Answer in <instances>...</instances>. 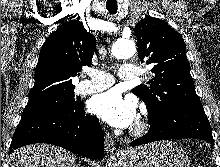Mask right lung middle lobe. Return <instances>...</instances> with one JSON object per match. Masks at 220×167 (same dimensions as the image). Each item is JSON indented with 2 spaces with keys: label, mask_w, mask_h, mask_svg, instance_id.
<instances>
[{
  "label": "right lung middle lobe",
  "mask_w": 220,
  "mask_h": 167,
  "mask_svg": "<svg viewBox=\"0 0 220 167\" xmlns=\"http://www.w3.org/2000/svg\"><path fill=\"white\" fill-rule=\"evenodd\" d=\"M77 104L78 102L74 99V89H70L37 99H29L24 111L45 105H52L60 108H73Z\"/></svg>",
  "instance_id": "obj_1"
}]
</instances>
